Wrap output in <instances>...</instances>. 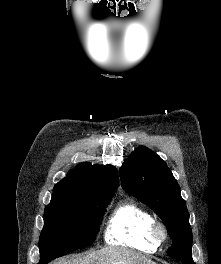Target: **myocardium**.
<instances>
[{"label":"myocardium","instance_id":"1","mask_svg":"<svg viewBox=\"0 0 221 264\" xmlns=\"http://www.w3.org/2000/svg\"><path fill=\"white\" fill-rule=\"evenodd\" d=\"M150 232L152 238L159 245L166 242L169 237L166 226L162 222L156 220L153 221Z\"/></svg>","mask_w":221,"mask_h":264}]
</instances>
